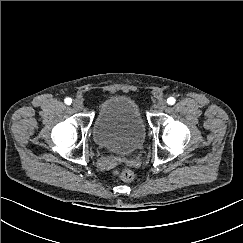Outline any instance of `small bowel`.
Masks as SVG:
<instances>
[{"label": "small bowel", "instance_id": "obj_1", "mask_svg": "<svg viewBox=\"0 0 243 243\" xmlns=\"http://www.w3.org/2000/svg\"><path fill=\"white\" fill-rule=\"evenodd\" d=\"M116 163V158L112 157L110 160L103 162L102 167L105 170H113Z\"/></svg>", "mask_w": 243, "mask_h": 243}]
</instances>
